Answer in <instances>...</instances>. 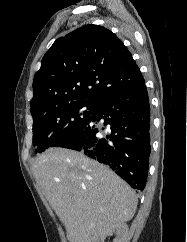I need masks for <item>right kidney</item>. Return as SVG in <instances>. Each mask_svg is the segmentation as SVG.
<instances>
[{
  "mask_svg": "<svg viewBox=\"0 0 187 242\" xmlns=\"http://www.w3.org/2000/svg\"><path fill=\"white\" fill-rule=\"evenodd\" d=\"M115 235L113 242H127L128 226L123 223L120 224L106 233H101L92 237L88 242H104L107 235Z\"/></svg>",
  "mask_w": 187,
  "mask_h": 242,
  "instance_id": "ca27d5eb",
  "label": "right kidney"
}]
</instances>
